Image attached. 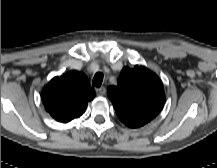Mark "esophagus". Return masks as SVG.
Wrapping results in <instances>:
<instances>
[{
  "label": "esophagus",
  "mask_w": 217,
  "mask_h": 168,
  "mask_svg": "<svg viewBox=\"0 0 217 168\" xmlns=\"http://www.w3.org/2000/svg\"><path fill=\"white\" fill-rule=\"evenodd\" d=\"M105 92H106L105 87H100V88H98V89L96 90V94H97L98 96H103V95L105 94Z\"/></svg>",
  "instance_id": "34e87169"
}]
</instances>
